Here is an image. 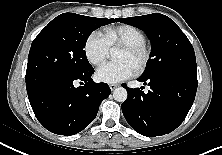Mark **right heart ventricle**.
Wrapping results in <instances>:
<instances>
[{
	"instance_id": "1",
	"label": "right heart ventricle",
	"mask_w": 222,
	"mask_h": 155,
	"mask_svg": "<svg viewBox=\"0 0 222 155\" xmlns=\"http://www.w3.org/2000/svg\"><path fill=\"white\" fill-rule=\"evenodd\" d=\"M105 37L110 47L146 43V34L140 28L130 24L107 28Z\"/></svg>"
}]
</instances>
